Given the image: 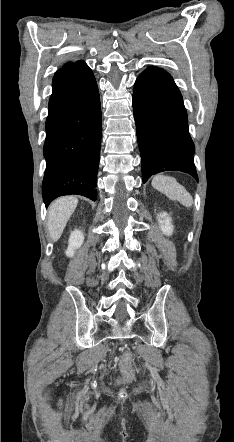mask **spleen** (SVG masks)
Returning a JSON list of instances; mask_svg holds the SVG:
<instances>
[{
	"mask_svg": "<svg viewBox=\"0 0 234 442\" xmlns=\"http://www.w3.org/2000/svg\"><path fill=\"white\" fill-rule=\"evenodd\" d=\"M152 186L159 192L165 194L171 200H177L183 206L193 205V198L187 190L177 182L174 177L156 175L151 182Z\"/></svg>",
	"mask_w": 234,
	"mask_h": 442,
	"instance_id": "spleen-1",
	"label": "spleen"
}]
</instances>
